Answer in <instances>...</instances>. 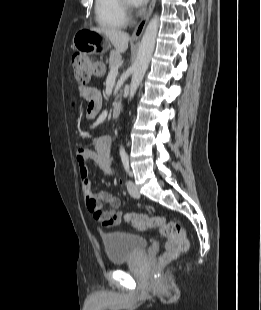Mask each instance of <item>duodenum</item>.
Returning a JSON list of instances; mask_svg holds the SVG:
<instances>
[{
    "label": "duodenum",
    "instance_id": "duodenum-1",
    "mask_svg": "<svg viewBox=\"0 0 261 310\" xmlns=\"http://www.w3.org/2000/svg\"><path fill=\"white\" fill-rule=\"evenodd\" d=\"M120 112H121V104L115 103L112 108V117L117 118L120 115Z\"/></svg>",
    "mask_w": 261,
    "mask_h": 310
}]
</instances>
